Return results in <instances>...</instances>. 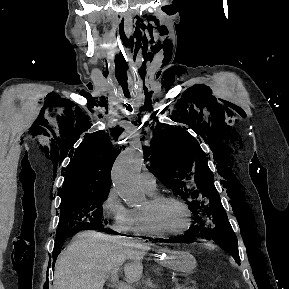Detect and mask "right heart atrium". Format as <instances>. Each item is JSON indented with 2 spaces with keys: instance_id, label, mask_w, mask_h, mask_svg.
Masks as SVG:
<instances>
[{
  "instance_id": "1",
  "label": "right heart atrium",
  "mask_w": 289,
  "mask_h": 289,
  "mask_svg": "<svg viewBox=\"0 0 289 289\" xmlns=\"http://www.w3.org/2000/svg\"><path fill=\"white\" fill-rule=\"evenodd\" d=\"M102 214L109 222V227L117 233H128L132 231V215L117 191L111 188L101 205Z\"/></svg>"
}]
</instances>
